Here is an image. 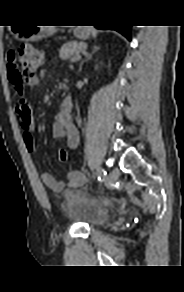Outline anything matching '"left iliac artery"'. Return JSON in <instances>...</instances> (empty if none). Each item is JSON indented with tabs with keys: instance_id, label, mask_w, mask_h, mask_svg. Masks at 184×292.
<instances>
[{
	"instance_id": "obj_1",
	"label": "left iliac artery",
	"mask_w": 184,
	"mask_h": 292,
	"mask_svg": "<svg viewBox=\"0 0 184 292\" xmlns=\"http://www.w3.org/2000/svg\"><path fill=\"white\" fill-rule=\"evenodd\" d=\"M105 176H106V171L103 168L98 167L97 168V177H98V181L100 183H102L104 181Z\"/></svg>"
}]
</instances>
